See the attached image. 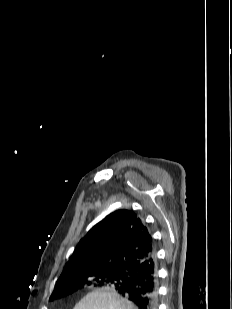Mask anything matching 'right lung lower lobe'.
<instances>
[{
  "instance_id": "right-lung-lower-lobe-1",
  "label": "right lung lower lobe",
  "mask_w": 232,
  "mask_h": 309,
  "mask_svg": "<svg viewBox=\"0 0 232 309\" xmlns=\"http://www.w3.org/2000/svg\"><path fill=\"white\" fill-rule=\"evenodd\" d=\"M129 280L115 287L116 291L134 302L139 309H158L156 256L128 269Z\"/></svg>"
}]
</instances>
